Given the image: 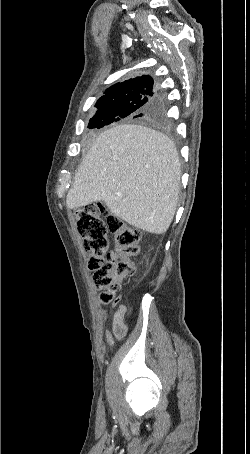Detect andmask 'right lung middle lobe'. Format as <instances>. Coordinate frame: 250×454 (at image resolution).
I'll list each match as a JSON object with an SVG mask.
<instances>
[{
    "label": "right lung middle lobe",
    "instance_id": "right-lung-middle-lobe-1",
    "mask_svg": "<svg viewBox=\"0 0 250 454\" xmlns=\"http://www.w3.org/2000/svg\"><path fill=\"white\" fill-rule=\"evenodd\" d=\"M160 98L156 87L142 85L131 88L118 96L100 99L95 105L98 110L90 119L88 128H101L123 119L161 123L165 118L157 117L151 109L154 102Z\"/></svg>",
    "mask_w": 250,
    "mask_h": 454
}]
</instances>
